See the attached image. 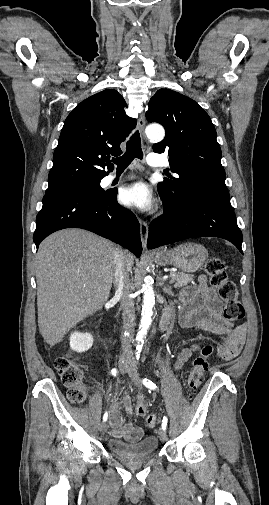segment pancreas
Masks as SVG:
<instances>
[{"instance_id":"1","label":"pancreas","mask_w":269,"mask_h":505,"mask_svg":"<svg viewBox=\"0 0 269 505\" xmlns=\"http://www.w3.org/2000/svg\"><path fill=\"white\" fill-rule=\"evenodd\" d=\"M170 282L174 283L175 288H181L186 286L189 282L193 280V276L189 274H184L180 272H172L170 274Z\"/></svg>"}]
</instances>
